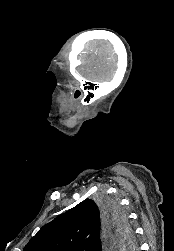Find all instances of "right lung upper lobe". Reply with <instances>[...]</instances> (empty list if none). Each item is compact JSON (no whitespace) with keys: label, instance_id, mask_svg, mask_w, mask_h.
<instances>
[{"label":"right lung upper lobe","instance_id":"1","mask_svg":"<svg viewBox=\"0 0 174 251\" xmlns=\"http://www.w3.org/2000/svg\"><path fill=\"white\" fill-rule=\"evenodd\" d=\"M105 217L98 205L86 199L44 225L23 251H102L117 250L121 241L101 246Z\"/></svg>","mask_w":174,"mask_h":251}]
</instances>
